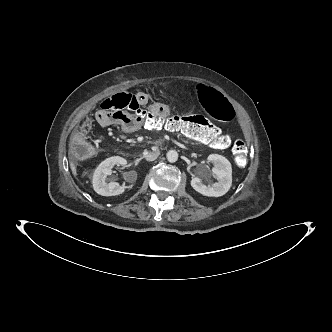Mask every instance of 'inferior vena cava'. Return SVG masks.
Instances as JSON below:
<instances>
[{"mask_svg": "<svg viewBox=\"0 0 332 332\" xmlns=\"http://www.w3.org/2000/svg\"><path fill=\"white\" fill-rule=\"evenodd\" d=\"M159 156V152H150L145 156V159L147 161H154L155 159H157V157Z\"/></svg>", "mask_w": 332, "mask_h": 332, "instance_id": "1", "label": "inferior vena cava"}]
</instances>
